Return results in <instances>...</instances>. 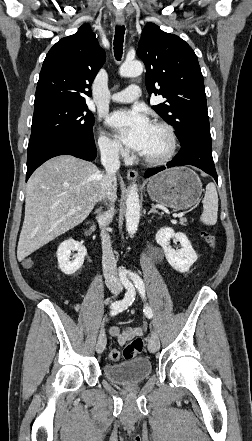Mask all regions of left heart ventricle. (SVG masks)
<instances>
[{
    "instance_id": "1",
    "label": "left heart ventricle",
    "mask_w": 252,
    "mask_h": 441,
    "mask_svg": "<svg viewBox=\"0 0 252 441\" xmlns=\"http://www.w3.org/2000/svg\"><path fill=\"white\" fill-rule=\"evenodd\" d=\"M169 148L168 138L163 130L152 126L148 142L142 155L147 157H160Z\"/></svg>"
}]
</instances>
